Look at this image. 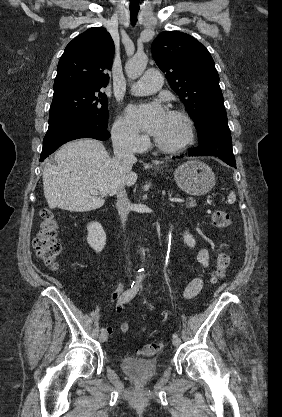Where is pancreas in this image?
I'll return each mask as SVG.
<instances>
[{"label":"pancreas","instance_id":"obj_1","mask_svg":"<svg viewBox=\"0 0 282 417\" xmlns=\"http://www.w3.org/2000/svg\"><path fill=\"white\" fill-rule=\"evenodd\" d=\"M169 194H171V192H169ZM178 196V194H177ZM188 200L189 202H187V209H192V206H196V200H194V198H192V196H188Z\"/></svg>","mask_w":282,"mask_h":417}]
</instances>
